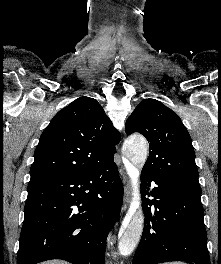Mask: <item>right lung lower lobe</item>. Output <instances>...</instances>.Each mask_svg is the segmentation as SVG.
<instances>
[{
    "instance_id": "right-lung-lower-lobe-1",
    "label": "right lung lower lobe",
    "mask_w": 221,
    "mask_h": 264,
    "mask_svg": "<svg viewBox=\"0 0 221 264\" xmlns=\"http://www.w3.org/2000/svg\"><path fill=\"white\" fill-rule=\"evenodd\" d=\"M27 190L17 264L49 259L104 264L106 239L123 199L113 158L87 172L29 184Z\"/></svg>"
}]
</instances>
